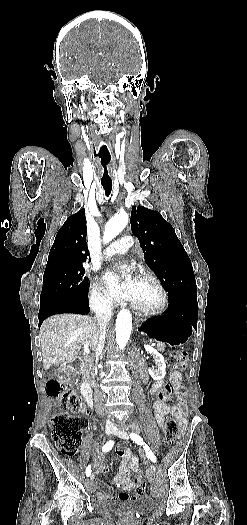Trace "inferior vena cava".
<instances>
[{
	"mask_svg": "<svg viewBox=\"0 0 247 525\" xmlns=\"http://www.w3.org/2000/svg\"><path fill=\"white\" fill-rule=\"evenodd\" d=\"M95 319L98 323V335L96 337L95 357L99 361L105 345V329L112 317V305L107 301H97L93 309Z\"/></svg>",
	"mask_w": 247,
	"mask_h": 525,
	"instance_id": "1",
	"label": "inferior vena cava"
}]
</instances>
